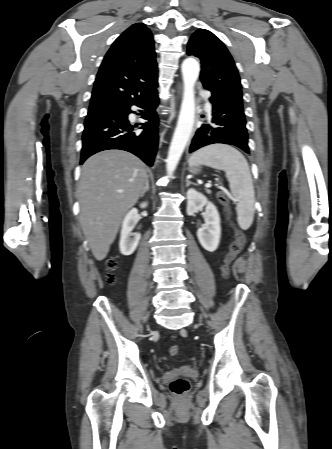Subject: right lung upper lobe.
Returning <instances> with one entry per match:
<instances>
[{
    "mask_svg": "<svg viewBox=\"0 0 332 449\" xmlns=\"http://www.w3.org/2000/svg\"><path fill=\"white\" fill-rule=\"evenodd\" d=\"M155 56L152 34L144 24L136 23L124 31L103 59L88 114L121 107L155 91Z\"/></svg>",
    "mask_w": 332,
    "mask_h": 449,
    "instance_id": "1",
    "label": "right lung upper lobe"
}]
</instances>
